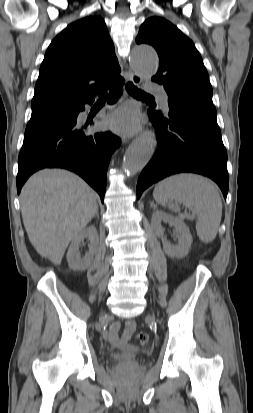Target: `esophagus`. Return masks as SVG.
<instances>
[{"instance_id":"1","label":"esophagus","mask_w":253,"mask_h":413,"mask_svg":"<svg viewBox=\"0 0 253 413\" xmlns=\"http://www.w3.org/2000/svg\"><path fill=\"white\" fill-rule=\"evenodd\" d=\"M129 77H130V80L134 83V84H137V85H139V84H141V82H142V79H141V77L138 75V74H136V73H134V72H129ZM144 134H149V132H144Z\"/></svg>"}]
</instances>
